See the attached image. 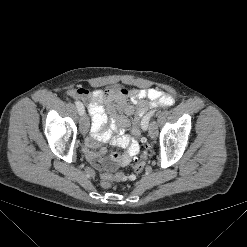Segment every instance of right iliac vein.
I'll return each mask as SVG.
<instances>
[{
    "label": "right iliac vein",
    "mask_w": 247,
    "mask_h": 247,
    "mask_svg": "<svg viewBox=\"0 0 247 247\" xmlns=\"http://www.w3.org/2000/svg\"><path fill=\"white\" fill-rule=\"evenodd\" d=\"M89 130V119L88 117L83 114L80 120V131L82 134H86Z\"/></svg>",
    "instance_id": "63e3f726"
}]
</instances>
